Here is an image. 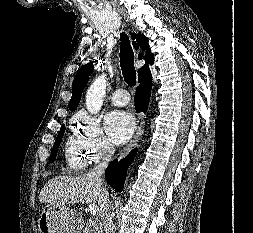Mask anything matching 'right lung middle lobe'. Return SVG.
<instances>
[{
    "label": "right lung middle lobe",
    "instance_id": "1",
    "mask_svg": "<svg viewBox=\"0 0 253 233\" xmlns=\"http://www.w3.org/2000/svg\"><path fill=\"white\" fill-rule=\"evenodd\" d=\"M64 131H65V126L62 125V127L58 133L57 139L55 140V143H54L51 155H50V159H49L50 162H53L56 158L58 147H59V144H60L62 137L64 135Z\"/></svg>",
    "mask_w": 253,
    "mask_h": 233
}]
</instances>
